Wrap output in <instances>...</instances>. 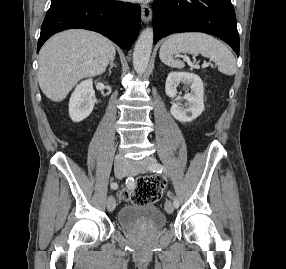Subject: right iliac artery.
<instances>
[{"mask_svg":"<svg viewBox=\"0 0 286 269\" xmlns=\"http://www.w3.org/2000/svg\"><path fill=\"white\" fill-rule=\"evenodd\" d=\"M126 185L128 188H132L134 186V178L133 177H128L126 179ZM111 188L112 189H117L118 188V184L116 182H112L111 183Z\"/></svg>","mask_w":286,"mask_h":269,"instance_id":"82829eb1","label":"right iliac artery"}]
</instances>
